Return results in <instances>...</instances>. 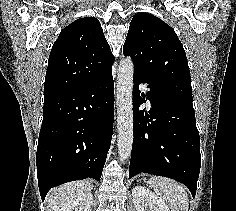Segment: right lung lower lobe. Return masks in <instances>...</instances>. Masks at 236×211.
Here are the masks:
<instances>
[{
    "label": "right lung lower lobe",
    "instance_id": "right-lung-lower-lobe-1",
    "mask_svg": "<svg viewBox=\"0 0 236 211\" xmlns=\"http://www.w3.org/2000/svg\"><path fill=\"white\" fill-rule=\"evenodd\" d=\"M114 121L112 72L84 88L44 96L37 147L40 195L60 184L99 181Z\"/></svg>",
    "mask_w": 236,
    "mask_h": 211
}]
</instances>
